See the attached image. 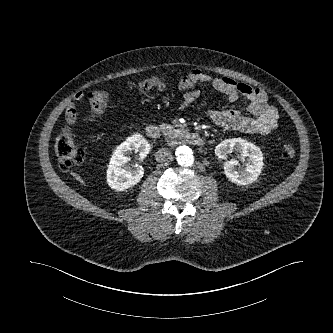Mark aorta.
I'll return each instance as SVG.
<instances>
[{
  "mask_svg": "<svg viewBox=\"0 0 333 333\" xmlns=\"http://www.w3.org/2000/svg\"><path fill=\"white\" fill-rule=\"evenodd\" d=\"M177 161L182 166H191L194 162V156L191 148L188 146H179L176 150Z\"/></svg>",
  "mask_w": 333,
  "mask_h": 333,
  "instance_id": "1",
  "label": "aorta"
}]
</instances>
